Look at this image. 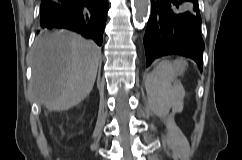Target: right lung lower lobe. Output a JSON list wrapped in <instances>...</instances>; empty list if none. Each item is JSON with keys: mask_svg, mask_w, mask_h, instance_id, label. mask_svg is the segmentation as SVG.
Returning <instances> with one entry per match:
<instances>
[{"mask_svg": "<svg viewBox=\"0 0 242 160\" xmlns=\"http://www.w3.org/2000/svg\"><path fill=\"white\" fill-rule=\"evenodd\" d=\"M108 0H42L41 30L68 29L102 44Z\"/></svg>", "mask_w": 242, "mask_h": 160, "instance_id": "right-lung-lower-lobe-1", "label": "right lung lower lobe"}]
</instances>
